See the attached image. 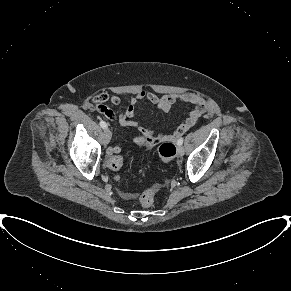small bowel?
<instances>
[{"instance_id":"small-bowel-1","label":"small bowel","mask_w":291,"mask_h":291,"mask_svg":"<svg viewBox=\"0 0 291 291\" xmlns=\"http://www.w3.org/2000/svg\"><path fill=\"white\" fill-rule=\"evenodd\" d=\"M94 102L97 103V110L104 114L109 120H116L114 112L107 106L108 102H111L113 105H119L121 99L116 96H108L107 94H99L94 97ZM148 100L153 105H155L159 110L163 112H168L174 103L181 101L186 104L193 106L192 111L190 112L187 119L181 123L178 128L172 134L159 133L154 134V132L147 130L140 123L134 120L135 118V108L140 101ZM207 103L205 99L195 93H184L180 95L176 94H165L158 96L157 94L149 91H139L129 100L128 106L125 110L119 115L118 121L122 126L134 127L140 131L141 135L134 136L132 141L135 144H156L166 141L175 142L181 135L187 132L190 128L196 125L199 119L206 113ZM121 151L120 146H112L108 149V155L113 153H119ZM122 197L125 199L133 198L132 193H122Z\"/></svg>"}]
</instances>
